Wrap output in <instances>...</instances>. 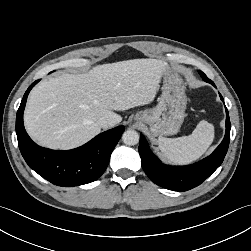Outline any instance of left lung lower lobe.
Returning <instances> with one entry per match:
<instances>
[{
    "instance_id": "1",
    "label": "left lung lower lobe",
    "mask_w": 251,
    "mask_h": 251,
    "mask_svg": "<svg viewBox=\"0 0 251 251\" xmlns=\"http://www.w3.org/2000/svg\"><path fill=\"white\" fill-rule=\"evenodd\" d=\"M209 83L213 84L212 81ZM221 100L224 102L222 96ZM230 120L226 108V133L221 144L205 159L187 166H168L163 164L150 150L145 137L140 135L139 154L142 168L157 185L174 191H187L206 180L221 165L230 141Z\"/></svg>"
}]
</instances>
